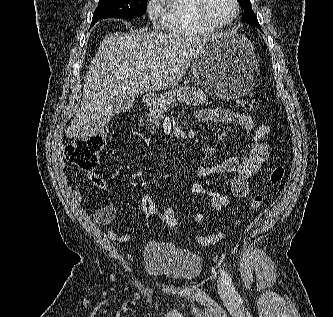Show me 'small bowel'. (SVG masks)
I'll return each instance as SVG.
<instances>
[{"label":"small bowel","instance_id":"1","mask_svg":"<svg viewBox=\"0 0 333 317\" xmlns=\"http://www.w3.org/2000/svg\"><path fill=\"white\" fill-rule=\"evenodd\" d=\"M196 118L200 122H213L219 124H237L244 129L251 137V145L245 156L232 155L222 159L213 167L197 166L195 168V176L203 179L211 175H230L229 188L233 196L237 198H245L252 192L250 180L257 176L263 165L269 159V149L265 141L269 132L266 124L256 125L253 119L242 113L234 112L223 108H203L196 112ZM91 183L99 188L104 189L105 185L99 175L95 172L89 175ZM193 194L205 196L210 207L220 213L230 204V198L220 192L211 191L205 188L200 182L195 181L191 185ZM72 198L75 201H81L82 194L74 189L71 191ZM140 210L143 216L145 226L150 227V217L156 216L157 207L149 195H144L140 201ZM116 214L113 206H104L94 213V219L99 225L110 224ZM206 217L203 212H197L194 216L196 224H202ZM133 233H120L116 229L107 231V237L117 242H127L133 238Z\"/></svg>","mask_w":333,"mask_h":317}]
</instances>
